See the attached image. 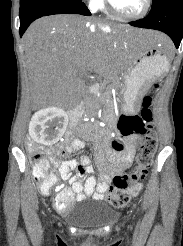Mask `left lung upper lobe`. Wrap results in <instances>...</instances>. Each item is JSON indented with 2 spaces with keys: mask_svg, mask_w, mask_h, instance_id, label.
Masks as SVG:
<instances>
[{
  "mask_svg": "<svg viewBox=\"0 0 183 246\" xmlns=\"http://www.w3.org/2000/svg\"><path fill=\"white\" fill-rule=\"evenodd\" d=\"M158 0H153L152 4H154L155 2H157Z\"/></svg>",
  "mask_w": 183,
  "mask_h": 246,
  "instance_id": "left-lung-upper-lobe-1",
  "label": "left lung upper lobe"
}]
</instances>
